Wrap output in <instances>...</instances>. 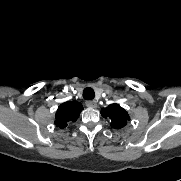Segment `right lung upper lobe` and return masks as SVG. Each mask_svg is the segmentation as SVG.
I'll return each mask as SVG.
<instances>
[{"instance_id":"right-lung-upper-lobe-1","label":"right lung upper lobe","mask_w":181,"mask_h":181,"mask_svg":"<svg viewBox=\"0 0 181 181\" xmlns=\"http://www.w3.org/2000/svg\"><path fill=\"white\" fill-rule=\"evenodd\" d=\"M82 110V104L76 100L64 102L56 111L54 124L63 129L70 122H75L79 118Z\"/></svg>"}]
</instances>
